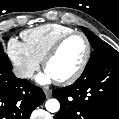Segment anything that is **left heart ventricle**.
<instances>
[{"label": "left heart ventricle", "mask_w": 119, "mask_h": 119, "mask_svg": "<svg viewBox=\"0 0 119 119\" xmlns=\"http://www.w3.org/2000/svg\"><path fill=\"white\" fill-rule=\"evenodd\" d=\"M86 52L82 37L74 36L64 43L57 55L47 64L46 71L54 80L68 77L81 64Z\"/></svg>", "instance_id": "b2bd125f"}]
</instances>
